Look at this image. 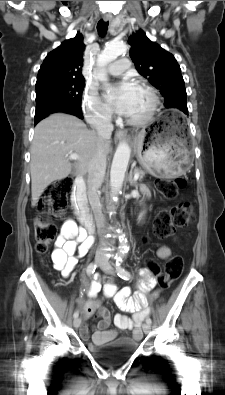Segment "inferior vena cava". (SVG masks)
<instances>
[{"label":"inferior vena cava","instance_id":"602c4592","mask_svg":"<svg viewBox=\"0 0 225 395\" xmlns=\"http://www.w3.org/2000/svg\"><path fill=\"white\" fill-rule=\"evenodd\" d=\"M94 126L97 131L99 141L110 139L113 124L111 122V116H96ZM106 171V155L101 145L93 155L88 165V198L94 214L96 225L99 231L104 227L105 217L102 213V205L100 203L99 188L102 185ZM109 243L102 237L100 239V253L106 250Z\"/></svg>","mask_w":225,"mask_h":395}]
</instances>
